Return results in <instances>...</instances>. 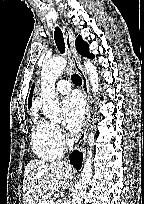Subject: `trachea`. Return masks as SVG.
<instances>
[{
    "label": "trachea",
    "mask_w": 144,
    "mask_h": 204,
    "mask_svg": "<svg viewBox=\"0 0 144 204\" xmlns=\"http://www.w3.org/2000/svg\"><path fill=\"white\" fill-rule=\"evenodd\" d=\"M54 40L60 53L62 54L65 53V43H64L63 33L59 27H55ZM71 79L77 85L82 83L81 77L77 74H73L71 76Z\"/></svg>",
    "instance_id": "trachea-1"
}]
</instances>
